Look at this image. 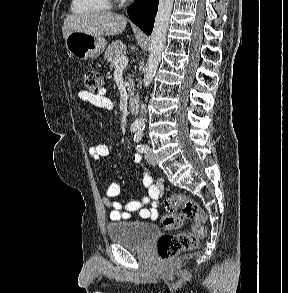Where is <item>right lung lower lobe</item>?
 Wrapping results in <instances>:
<instances>
[{
    "label": "right lung lower lobe",
    "mask_w": 288,
    "mask_h": 293,
    "mask_svg": "<svg viewBox=\"0 0 288 293\" xmlns=\"http://www.w3.org/2000/svg\"><path fill=\"white\" fill-rule=\"evenodd\" d=\"M159 0H136L129 8L128 15L132 22L150 35L154 26Z\"/></svg>",
    "instance_id": "obj_1"
}]
</instances>
